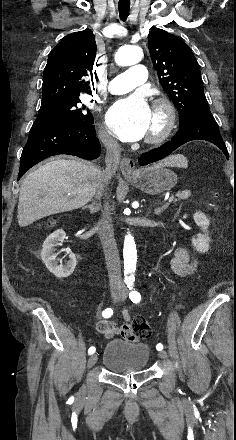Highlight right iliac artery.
Returning a JSON list of instances; mask_svg holds the SVG:
<instances>
[{"label":"right iliac artery","instance_id":"obj_1","mask_svg":"<svg viewBox=\"0 0 236 440\" xmlns=\"http://www.w3.org/2000/svg\"><path fill=\"white\" fill-rule=\"evenodd\" d=\"M112 315H113V309L111 308H107L102 312V316L104 318H110ZM95 351H96L95 347L92 346L88 349V354L91 355L95 353Z\"/></svg>","mask_w":236,"mask_h":440}]
</instances>
